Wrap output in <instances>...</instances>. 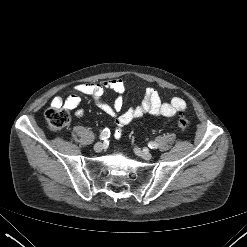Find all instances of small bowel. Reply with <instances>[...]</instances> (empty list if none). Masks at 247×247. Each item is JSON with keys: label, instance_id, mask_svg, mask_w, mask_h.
<instances>
[{"label": "small bowel", "instance_id": "obj_1", "mask_svg": "<svg viewBox=\"0 0 247 247\" xmlns=\"http://www.w3.org/2000/svg\"><path fill=\"white\" fill-rule=\"evenodd\" d=\"M77 93L71 94L63 100L61 97H54L51 101L53 107H64L66 109L76 108L81 101L80 95L91 96L96 105L107 115L116 119L117 129L115 137H118V131L121 127L129 124L135 119L142 117L144 114H149L155 117H174L182 113L186 109V102L180 97H173L170 101H162L160 94L154 88H147L140 104L131 106L123 111L122 94L125 91L123 80L115 78L104 80L98 83H80L75 86ZM111 90L116 93V98L113 104H109L102 100L103 94ZM76 117L81 118L84 115L83 110L78 109L75 112Z\"/></svg>", "mask_w": 247, "mask_h": 247}]
</instances>
